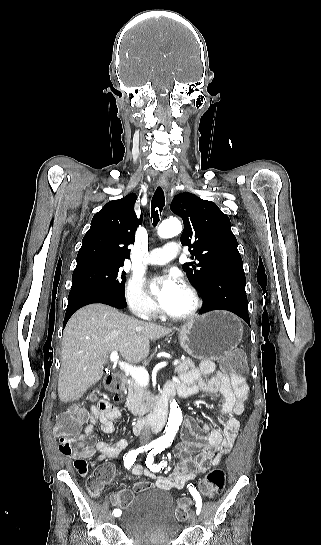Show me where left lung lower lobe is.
<instances>
[{"label":"left lung lower lobe","mask_w":321,"mask_h":545,"mask_svg":"<svg viewBox=\"0 0 321 545\" xmlns=\"http://www.w3.org/2000/svg\"><path fill=\"white\" fill-rule=\"evenodd\" d=\"M246 278L243 266L231 267L214 273L201 289L204 298L200 313L228 310L241 317L249 326Z\"/></svg>","instance_id":"left-lung-lower-lobe-1"}]
</instances>
